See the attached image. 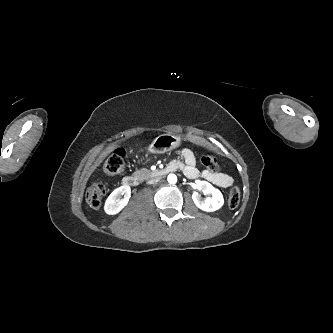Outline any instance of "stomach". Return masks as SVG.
<instances>
[{"label":"stomach","instance_id":"stomach-1","mask_svg":"<svg viewBox=\"0 0 333 333\" xmlns=\"http://www.w3.org/2000/svg\"><path fill=\"white\" fill-rule=\"evenodd\" d=\"M180 143V136H176L172 133L162 134L153 141L148 150L153 154L165 153L179 147Z\"/></svg>","mask_w":333,"mask_h":333}]
</instances>
